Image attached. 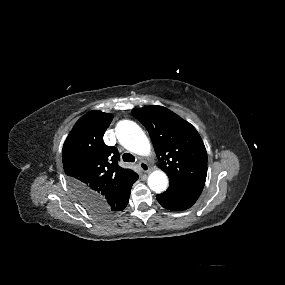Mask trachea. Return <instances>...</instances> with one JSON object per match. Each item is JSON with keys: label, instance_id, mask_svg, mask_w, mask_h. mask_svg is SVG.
I'll return each mask as SVG.
<instances>
[{"label": "trachea", "instance_id": "trachea-1", "mask_svg": "<svg viewBox=\"0 0 285 285\" xmlns=\"http://www.w3.org/2000/svg\"><path fill=\"white\" fill-rule=\"evenodd\" d=\"M122 158L124 162H135V157L130 153H124Z\"/></svg>", "mask_w": 285, "mask_h": 285}]
</instances>
